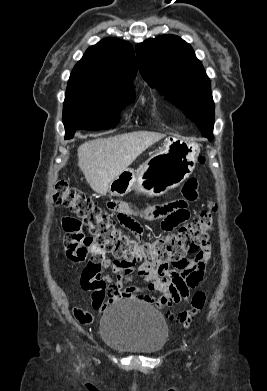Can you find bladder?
<instances>
[{
    "label": "bladder",
    "instance_id": "obj_1",
    "mask_svg": "<svg viewBox=\"0 0 267 391\" xmlns=\"http://www.w3.org/2000/svg\"><path fill=\"white\" fill-rule=\"evenodd\" d=\"M100 337L106 345L122 352L153 354L165 346L168 326L154 308L122 300L110 305L104 313Z\"/></svg>",
    "mask_w": 267,
    "mask_h": 391
}]
</instances>
